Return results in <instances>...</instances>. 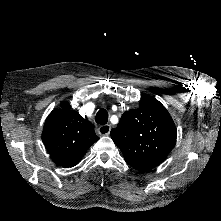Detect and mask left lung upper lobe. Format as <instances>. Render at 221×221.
I'll return each instance as SVG.
<instances>
[{
    "mask_svg": "<svg viewBox=\"0 0 221 221\" xmlns=\"http://www.w3.org/2000/svg\"><path fill=\"white\" fill-rule=\"evenodd\" d=\"M111 138L125 161L139 171L159 165L176 140V126L165 107L154 97L140 101L139 108L124 112Z\"/></svg>",
    "mask_w": 221,
    "mask_h": 221,
    "instance_id": "1",
    "label": "left lung upper lobe"
}]
</instances>
